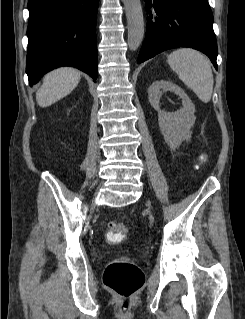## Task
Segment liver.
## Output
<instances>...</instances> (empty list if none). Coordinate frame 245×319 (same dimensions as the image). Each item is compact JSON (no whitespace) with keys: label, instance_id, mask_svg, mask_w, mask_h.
Returning a JSON list of instances; mask_svg holds the SVG:
<instances>
[{"label":"liver","instance_id":"1","mask_svg":"<svg viewBox=\"0 0 245 319\" xmlns=\"http://www.w3.org/2000/svg\"><path fill=\"white\" fill-rule=\"evenodd\" d=\"M80 76V72L73 68H60L45 75L36 93L38 105L50 106L70 94L77 87Z\"/></svg>","mask_w":245,"mask_h":319}]
</instances>
